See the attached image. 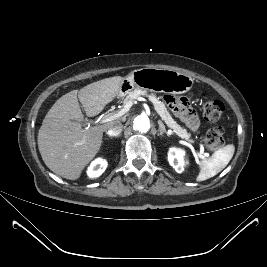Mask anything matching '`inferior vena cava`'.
<instances>
[{
    "label": "inferior vena cava",
    "mask_w": 267,
    "mask_h": 267,
    "mask_svg": "<svg viewBox=\"0 0 267 267\" xmlns=\"http://www.w3.org/2000/svg\"><path fill=\"white\" fill-rule=\"evenodd\" d=\"M123 129V125L121 123L112 125L108 131L106 132L109 136H118Z\"/></svg>",
    "instance_id": "602c4592"
}]
</instances>
